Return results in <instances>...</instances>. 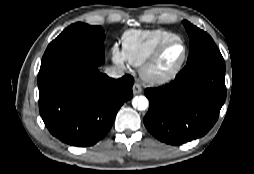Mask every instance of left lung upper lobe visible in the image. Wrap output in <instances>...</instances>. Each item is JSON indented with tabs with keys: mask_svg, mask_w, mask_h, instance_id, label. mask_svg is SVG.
<instances>
[{
	"mask_svg": "<svg viewBox=\"0 0 254 174\" xmlns=\"http://www.w3.org/2000/svg\"><path fill=\"white\" fill-rule=\"evenodd\" d=\"M190 39V53L183 72L200 67L225 69L224 59L211 36L188 21L182 22Z\"/></svg>",
	"mask_w": 254,
	"mask_h": 174,
	"instance_id": "5c2ea615",
	"label": "left lung upper lobe"
}]
</instances>
